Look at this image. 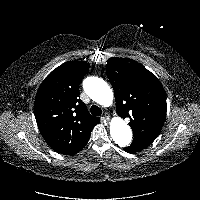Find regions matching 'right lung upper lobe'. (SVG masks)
Instances as JSON below:
<instances>
[{"instance_id": "right-lung-upper-lobe-1", "label": "right lung upper lobe", "mask_w": 200, "mask_h": 200, "mask_svg": "<svg viewBox=\"0 0 200 200\" xmlns=\"http://www.w3.org/2000/svg\"><path fill=\"white\" fill-rule=\"evenodd\" d=\"M89 67L86 62L63 63L44 79L35 97L34 113L40 133L61 154L78 153L100 121L79 99V84Z\"/></svg>"}]
</instances>
